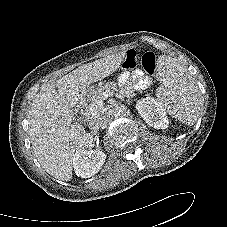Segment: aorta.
Instances as JSON below:
<instances>
[{
	"label": "aorta",
	"instance_id": "aorta-1",
	"mask_svg": "<svg viewBox=\"0 0 227 227\" xmlns=\"http://www.w3.org/2000/svg\"><path fill=\"white\" fill-rule=\"evenodd\" d=\"M126 113H127V108H126V106L123 105V104L116 105V106H114V108H113V114H114L116 117L124 116Z\"/></svg>",
	"mask_w": 227,
	"mask_h": 227
}]
</instances>
